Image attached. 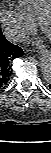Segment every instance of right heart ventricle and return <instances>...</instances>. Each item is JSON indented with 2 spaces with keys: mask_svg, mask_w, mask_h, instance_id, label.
Segmentation results:
<instances>
[{
  "mask_svg": "<svg viewBox=\"0 0 51 153\" xmlns=\"http://www.w3.org/2000/svg\"><path fill=\"white\" fill-rule=\"evenodd\" d=\"M17 7L32 23H36L44 11L51 8V0H18Z\"/></svg>",
  "mask_w": 51,
  "mask_h": 153,
  "instance_id": "obj_1",
  "label": "right heart ventricle"
}]
</instances>
